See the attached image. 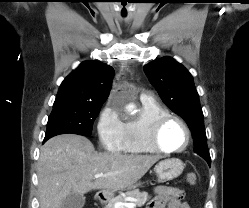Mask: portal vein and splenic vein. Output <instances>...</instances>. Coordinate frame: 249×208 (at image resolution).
Instances as JSON below:
<instances>
[{
    "mask_svg": "<svg viewBox=\"0 0 249 208\" xmlns=\"http://www.w3.org/2000/svg\"><path fill=\"white\" fill-rule=\"evenodd\" d=\"M111 176V174H96L95 178H100V177H107ZM134 203H123V202H116L114 207L115 208H135Z\"/></svg>",
    "mask_w": 249,
    "mask_h": 208,
    "instance_id": "1",
    "label": "portal vein and splenic vein"
}]
</instances>
